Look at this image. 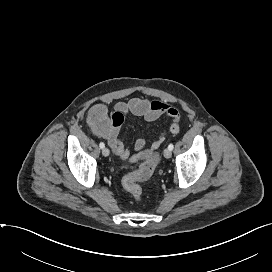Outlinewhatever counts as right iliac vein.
Here are the masks:
<instances>
[{
    "mask_svg": "<svg viewBox=\"0 0 272 272\" xmlns=\"http://www.w3.org/2000/svg\"><path fill=\"white\" fill-rule=\"evenodd\" d=\"M109 153H110V152H109V149H108V148H103V149H102V155H103V156L107 157V156H109Z\"/></svg>",
    "mask_w": 272,
    "mask_h": 272,
    "instance_id": "1",
    "label": "right iliac vein"
}]
</instances>
